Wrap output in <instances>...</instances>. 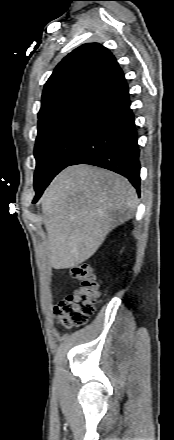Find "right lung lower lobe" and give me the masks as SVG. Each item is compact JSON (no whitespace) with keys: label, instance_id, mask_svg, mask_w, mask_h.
<instances>
[{"label":"right lung lower lobe","instance_id":"obj_1","mask_svg":"<svg viewBox=\"0 0 174 440\" xmlns=\"http://www.w3.org/2000/svg\"><path fill=\"white\" fill-rule=\"evenodd\" d=\"M86 137L67 165L90 164L125 176L140 196L139 145L125 78L98 94ZM48 184L35 188L34 203Z\"/></svg>","mask_w":174,"mask_h":440}]
</instances>
